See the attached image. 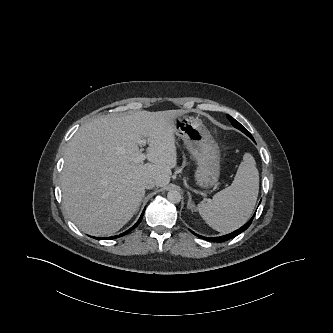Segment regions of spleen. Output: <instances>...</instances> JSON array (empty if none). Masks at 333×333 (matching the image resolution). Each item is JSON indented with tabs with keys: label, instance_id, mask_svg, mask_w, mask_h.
Listing matches in <instances>:
<instances>
[{
	"label": "spleen",
	"instance_id": "obj_1",
	"mask_svg": "<svg viewBox=\"0 0 333 333\" xmlns=\"http://www.w3.org/2000/svg\"><path fill=\"white\" fill-rule=\"evenodd\" d=\"M259 173L253 156L246 153L231 186L213 199L199 203L197 210L205 222L222 233H229L250 218L258 197Z\"/></svg>",
	"mask_w": 333,
	"mask_h": 333
}]
</instances>
